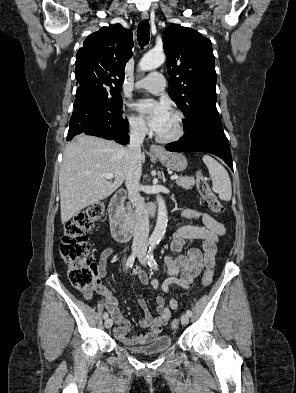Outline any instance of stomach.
Masks as SVG:
<instances>
[{"instance_id":"0dacf381","label":"stomach","mask_w":296,"mask_h":393,"mask_svg":"<svg viewBox=\"0 0 296 393\" xmlns=\"http://www.w3.org/2000/svg\"><path fill=\"white\" fill-rule=\"evenodd\" d=\"M162 165H164L167 169L173 171H183L187 167V159L181 153H171L164 151L161 154L156 155Z\"/></svg>"}]
</instances>
